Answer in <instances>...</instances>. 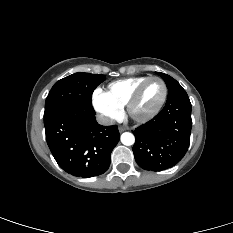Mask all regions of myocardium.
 <instances>
[{
  "label": "myocardium",
  "mask_w": 233,
  "mask_h": 233,
  "mask_svg": "<svg viewBox=\"0 0 233 233\" xmlns=\"http://www.w3.org/2000/svg\"><path fill=\"white\" fill-rule=\"evenodd\" d=\"M153 80H157V81L161 82V84L163 86V94H162L161 100L159 101V103L157 104V106L153 110H151L150 112H148L146 114L139 115L135 112L136 104H137L144 88L146 87V85ZM167 94H168V88H167L165 81L162 78H160L158 76L148 77L147 79H145L143 82H141L137 86V88L134 90L131 97L129 98V100L126 104L128 115L134 121L140 122V123L147 122V121L151 120L153 117H155L160 112V110L164 106L165 101L167 99Z\"/></svg>",
  "instance_id": "1"
}]
</instances>
